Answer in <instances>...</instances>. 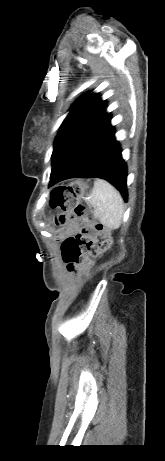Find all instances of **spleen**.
I'll use <instances>...</instances> for the list:
<instances>
[{
	"label": "spleen",
	"instance_id": "1",
	"mask_svg": "<svg viewBox=\"0 0 165 461\" xmlns=\"http://www.w3.org/2000/svg\"><path fill=\"white\" fill-rule=\"evenodd\" d=\"M88 202L94 208V216L109 229H117L122 224L124 202L120 193L107 181L94 182Z\"/></svg>",
	"mask_w": 165,
	"mask_h": 461
}]
</instances>
